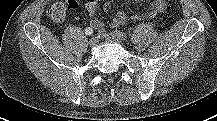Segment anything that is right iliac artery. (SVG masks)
<instances>
[{
	"label": "right iliac artery",
	"mask_w": 217,
	"mask_h": 121,
	"mask_svg": "<svg viewBox=\"0 0 217 121\" xmlns=\"http://www.w3.org/2000/svg\"><path fill=\"white\" fill-rule=\"evenodd\" d=\"M97 36L100 38V37L103 36V33L99 31L98 34H97Z\"/></svg>",
	"instance_id": "obj_1"
}]
</instances>
